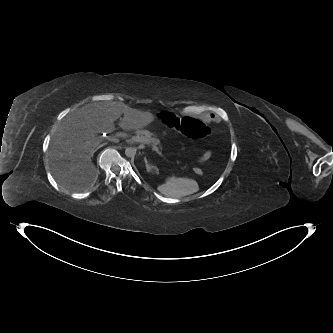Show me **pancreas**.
<instances>
[{
	"mask_svg": "<svg viewBox=\"0 0 333 333\" xmlns=\"http://www.w3.org/2000/svg\"><path fill=\"white\" fill-rule=\"evenodd\" d=\"M136 136L144 137L149 140L150 143L158 145L159 149L162 148L160 140L153 137L152 134L147 130H138Z\"/></svg>",
	"mask_w": 333,
	"mask_h": 333,
	"instance_id": "obj_1",
	"label": "pancreas"
}]
</instances>
